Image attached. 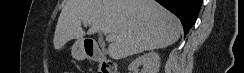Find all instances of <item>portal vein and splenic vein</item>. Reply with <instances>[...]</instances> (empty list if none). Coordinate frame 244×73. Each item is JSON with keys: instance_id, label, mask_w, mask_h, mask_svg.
<instances>
[{"instance_id": "1", "label": "portal vein and splenic vein", "mask_w": 244, "mask_h": 73, "mask_svg": "<svg viewBox=\"0 0 244 73\" xmlns=\"http://www.w3.org/2000/svg\"><path fill=\"white\" fill-rule=\"evenodd\" d=\"M114 35H112V34H108V35H106V41H108V42H112L113 40H114Z\"/></svg>"}]
</instances>
